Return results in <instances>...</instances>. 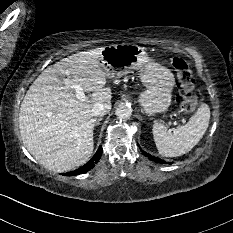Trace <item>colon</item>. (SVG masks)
Returning a JSON list of instances; mask_svg holds the SVG:
<instances>
[{
	"label": "colon",
	"instance_id": "colon-1",
	"mask_svg": "<svg viewBox=\"0 0 233 233\" xmlns=\"http://www.w3.org/2000/svg\"><path fill=\"white\" fill-rule=\"evenodd\" d=\"M171 65L179 82L177 102L184 112L191 113L195 111L198 105V100L193 94L194 78L192 71L187 62L181 57H173Z\"/></svg>",
	"mask_w": 233,
	"mask_h": 233
}]
</instances>
